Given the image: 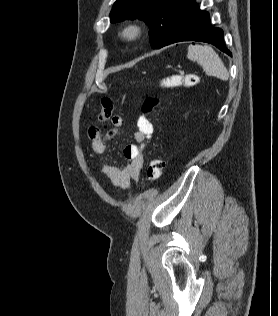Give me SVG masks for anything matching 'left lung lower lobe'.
<instances>
[{
	"instance_id": "obj_1",
	"label": "left lung lower lobe",
	"mask_w": 278,
	"mask_h": 316,
	"mask_svg": "<svg viewBox=\"0 0 278 316\" xmlns=\"http://www.w3.org/2000/svg\"><path fill=\"white\" fill-rule=\"evenodd\" d=\"M182 41H203L215 45L231 56L223 39V30L211 25L208 12L200 10L195 0H191L180 21L164 46Z\"/></svg>"
}]
</instances>
